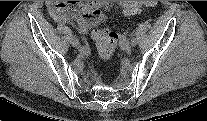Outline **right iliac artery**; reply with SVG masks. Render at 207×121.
Masks as SVG:
<instances>
[{
    "instance_id": "right-iliac-artery-1",
    "label": "right iliac artery",
    "mask_w": 207,
    "mask_h": 121,
    "mask_svg": "<svg viewBox=\"0 0 207 121\" xmlns=\"http://www.w3.org/2000/svg\"><path fill=\"white\" fill-rule=\"evenodd\" d=\"M87 49H88L87 46H83V47H82V51H84V50L86 51Z\"/></svg>"
}]
</instances>
